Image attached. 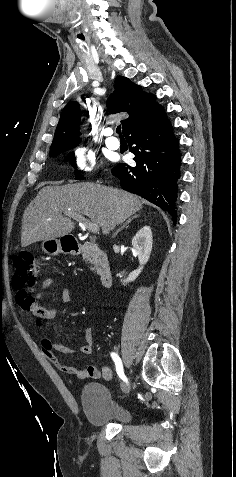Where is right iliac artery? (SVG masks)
Returning <instances> with one entry per match:
<instances>
[{
    "label": "right iliac artery",
    "mask_w": 236,
    "mask_h": 477,
    "mask_svg": "<svg viewBox=\"0 0 236 477\" xmlns=\"http://www.w3.org/2000/svg\"><path fill=\"white\" fill-rule=\"evenodd\" d=\"M111 357L115 363V366H116V372L118 374V376L128 384V380L124 374V370H123V365H122V361L120 359V357L118 356V354H116L115 352H112L111 353Z\"/></svg>",
    "instance_id": "82829eb1"
}]
</instances>
